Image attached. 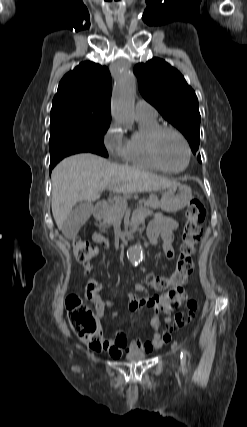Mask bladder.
<instances>
[{"instance_id":"1","label":"bladder","mask_w":247,"mask_h":427,"mask_svg":"<svg viewBox=\"0 0 247 427\" xmlns=\"http://www.w3.org/2000/svg\"><path fill=\"white\" fill-rule=\"evenodd\" d=\"M146 356L143 351H131L126 354L125 359L130 362H136L144 359Z\"/></svg>"}]
</instances>
